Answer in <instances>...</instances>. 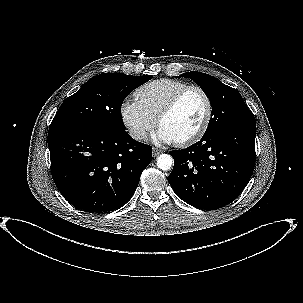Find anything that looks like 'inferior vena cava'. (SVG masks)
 Wrapping results in <instances>:
<instances>
[{
	"label": "inferior vena cava",
	"mask_w": 303,
	"mask_h": 303,
	"mask_svg": "<svg viewBox=\"0 0 303 303\" xmlns=\"http://www.w3.org/2000/svg\"><path fill=\"white\" fill-rule=\"evenodd\" d=\"M130 135L135 140H144L147 138V133L144 130H139V129L131 130Z\"/></svg>",
	"instance_id": "obj_1"
}]
</instances>
